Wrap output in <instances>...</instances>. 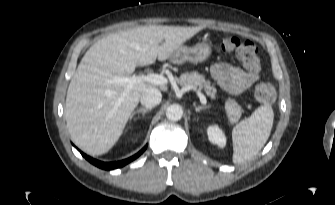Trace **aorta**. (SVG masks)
Wrapping results in <instances>:
<instances>
[{
	"instance_id": "aorta-1",
	"label": "aorta",
	"mask_w": 335,
	"mask_h": 205,
	"mask_svg": "<svg viewBox=\"0 0 335 205\" xmlns=\"http://www.w3.org/2000/svg\"><path fill=\"white\" fill-rule=\"evenodd\" d=\"M183 116V109L179 104H171L166 109V117L172 121H178Z\"/></svg>"
}]
</instances>
